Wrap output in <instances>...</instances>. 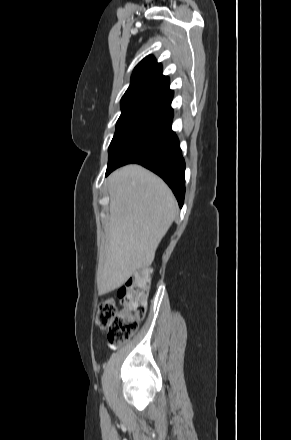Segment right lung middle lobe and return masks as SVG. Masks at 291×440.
Listing matches in <instances>:
<instances>
[{
	"mask_svg": "<svg viewBox=\"0 0 291 440\" xmlns=\"http://www.w3.org/2000/svg\"><path fill=\"white\" fill-rule=\"evenodd\" d=\"M153 101L136 100L121 103V115L116 124V131L108 149V166L132 131L136 128Z\"/></svg>",
	"mask_w": 291,
	"mask_h": 440,
	"instance_id": "dd1d6c3e",
	"label": "right lung middle lobe"
}]
</instances>
